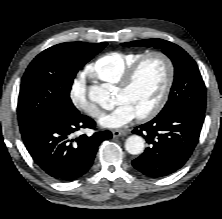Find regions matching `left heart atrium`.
<instances>
[{
    "instance_id": "39dd6f15",
    "label": "left heart atrium",
    "mask_w": 222,
    "mask_h": 219,
    "mask_svg": "<svg viewBox=\"0 0 222 219\" xmlns=\"http://www.w3.org/2000/svg\"><path fill=\"white\" fill-rule=\"evenodd\" d=\"M137 116L132 106L127 103H119L110 113L100 118L99 124L104 128H121L126 126Z\"/></svg>"
}]
</instances>
